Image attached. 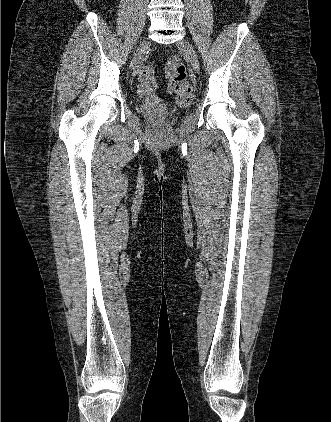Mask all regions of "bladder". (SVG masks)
Here are the masks:
<instances>
[{"instance_id":"obj_1","label":"bladder","mask_w":331,"mask_h":422,"mask_svg":"<svg viewBox=\"0 0 331 422\" xmlns=\"http://www.w3.org/2000/svg\"><path fill=\"white\" fill-rule=\"evenodd\" d=\"M148 106L140 108V111L148 117L160 119L166 116V112L158 103L156 98L147 100Z\"/></svg>"}]
</instances>
